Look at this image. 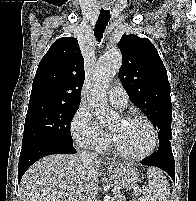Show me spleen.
<instances>
[{
    "label": "spleen",
    "mask_w": 196,
    "mask_h": 201,
    "mask_svg": "<svg viewBox=\"0 0 196 201\" xmlns=\"http://www.w3.org/2000/svg\"><path fill=\"white\" fill-rule=\"evenodd\" d=\"M147 174L148 184L143 192V201H169V184L163 172L151 167Z\"/></svg>",
    "instance_id": "obj_1"
}]
</instances>
